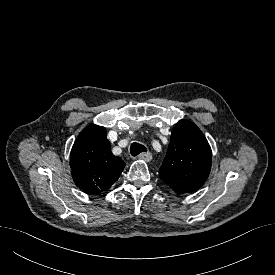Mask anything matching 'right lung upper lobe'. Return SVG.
<instances>
[{
	"mask_svg": "<svg viewBox=\"0 0 275 275\" xmlns=\"http://www.w3.org/2000/svg\"><path fill=\"white\" fill-rule=\"evenodd\" d=\"M70 167L75 184L88 194L109 189L120 177L125 163L111 152L106 129L86 127L77 137L70 154Z\"/></svg>",
	"mask_w": 275,
	"mask_h": 275,
	"instance_id": "cb5924a9",
	"label": "right lung upper lobe"
}]
</instances>
